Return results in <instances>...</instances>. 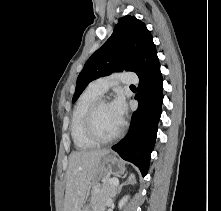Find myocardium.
Listing matches in <instances>:
<instances>
[{
    "mask_svg": "<svg viewBox=\"0 0 221 211\" xmlns=\"http://www.w3.org/2000/svg\"><path fill=\"white\" fill-rule=\"evenodd\" d=\"M104 103H108L107 98L99 97L91 104L85 116V122H84L85 134L91 141H93L96 144H106L113 142L116 139H118L123 133V127L120 126L119 130L110 137H101L98 134L96 130L95 119L99 107Z\"/></svg>",
    "mask_w": 221,
    "mask_h": 211,
    "instance_id": "myocardium-1",
    "label": "myocardium"
}]
</instances>
